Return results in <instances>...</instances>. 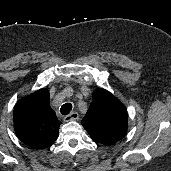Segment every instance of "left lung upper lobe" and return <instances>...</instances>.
<instances>
[{
	"instance_id": "1",
	"label": "left lung upper lobe",
	"mask_w": 171,
	"mask_h": 171,
	"mask_svg": "<svg viewBox=\"0 0 171 171\" xmlns=\"http://www.w3.org/2000/svg\"><path fill=\"white\" fill-rule=\"evenodd\" d=\"M92 99L82 125L94 141L112 145L127 132V110L115 96L102 88L93 92Z\"/></svg>"
}]
</instances>
